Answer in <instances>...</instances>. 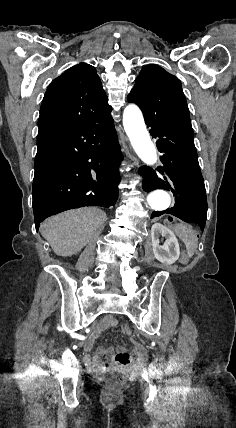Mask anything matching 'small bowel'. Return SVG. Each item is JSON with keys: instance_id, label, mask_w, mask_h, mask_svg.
Listing matches in <instances>:
<instances>
[{"instance_id": "obj_1", "label": "small bowel", "mask_w": 236, "mask_h": 428, "mask_svg": "<svg viewBox=\"0 0 236 428\" xmlns=\"http://www.w3.org/2000/svg\"><path fill=\"white\" fill-rule=\"evenodd\" d=\"M116 324L117 320L114 317L108 316L104 318L84 342L85 350H91L100 334L104 330L116 326ZM103 358L108 359V365L111 367L133 369L145 361L146 351L144 347L137 342L133 343V355L122 348H119L115 352L112 348L99 347L93 359L87 360V365L93 371H100L103 368Z\"/></svg>"}]
</instances>
